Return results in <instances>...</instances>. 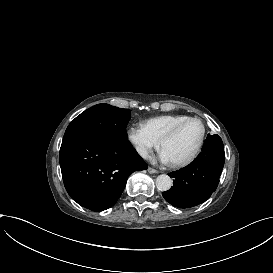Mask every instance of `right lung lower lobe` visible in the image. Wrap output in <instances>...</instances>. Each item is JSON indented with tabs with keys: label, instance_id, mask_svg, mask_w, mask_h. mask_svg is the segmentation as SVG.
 <instances>
[{
	"label": "right lung lower lobe",
	"instance_id": "98d812e1",
	"mask_svg": "<svg viewBox=\"0 0 273 273\" xmlns=\"http://www.w3.org/2000/svg\"><path fill=\"white\" fill-rule=\"evenodd\" d=\"M59 162L68 194L92 211L113 206L130 174L147 169L131 144L91 137L62 141Z\"/></svg>",
	"mask_w": 273,
	"mask_h": 273
}]
</instances>
